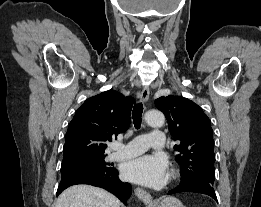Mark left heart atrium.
Segmentation results:
<instances>
[{
	"mask_svg": "<svg viewBox=\"0 0 261 207\" xmlns=\"http://www.w3.org/2000/svg\"><path fill=\"white\" fill-rule=\"evenodd\" d=\"M167 166V160L160 154L143 155L127 161L123 166L122 174L128 181L158 187L166 180Z\"/></svg>",
	"mask_w": 261,
	"mask_h": 207,
	"instance_id": "1",
	"label": "left heart atrium"
}]
</instances>
